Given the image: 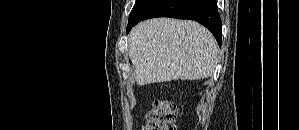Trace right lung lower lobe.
<instances>
[{
	"label": "right lung lower lobe",
	"instance_id": "right-lung-lower-lobe-1",
	"mask_svg": "<svg viewBox=\"0 0 299 130\" xmlns=\"http://www.w3.org/2000/svg\"><path fill=\"white\" fill-rule=\"evenodd\" d=\"M153 17L197 21L210 30L221 46L222 22L216 0H147L128 22L127 33L138 22Z\"/></svg>",
	"mask_w": 299,
	"mask_h": 130
}]
</instances>
